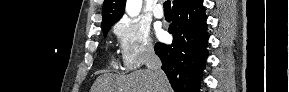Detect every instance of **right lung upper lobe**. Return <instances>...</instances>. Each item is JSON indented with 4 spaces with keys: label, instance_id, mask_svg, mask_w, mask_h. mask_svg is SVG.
<instances>
[{
    "label": "right lung upper lobe",
    "instance_id": "cb5924a9",
    "mask_svg": "<svg viewBox=\"0 0 289 92\" xmlns=\"http://www.w3.org/2000/svg\"><path fill=\"white\" fill-rule=\"evenodd\" d=\"M195 0H173L172 9L189 5ZM126 0H104L102 28L116 23L123 15Z\"/></svg>",
    "mask_w": 289,
    "mask_h": 92
}]
</instances>
